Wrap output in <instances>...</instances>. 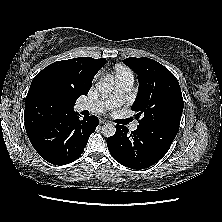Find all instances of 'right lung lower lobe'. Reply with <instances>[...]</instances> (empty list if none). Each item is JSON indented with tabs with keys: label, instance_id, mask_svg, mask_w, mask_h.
<instances>
[{
	"label": "right lung lower lobe",
	"instance_id": "1",
	"mask_svg": "<svg viewBox=\"0 0 222 222\" xmlns=\"http://www.w3.org/2000/svg\"><path fill=\"white\" fill-rule=\"evenodd\" d=\"M95 116L80 119L79 114L61 117L37 127L27 135L37 153L54 165H65L82 153L98 126Z\"/></svg>",
	"mask_w": 222,
	"mask_h": 222
}]
</instances>
